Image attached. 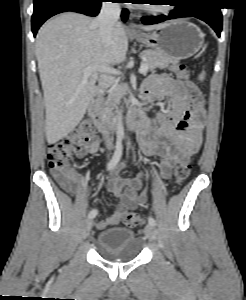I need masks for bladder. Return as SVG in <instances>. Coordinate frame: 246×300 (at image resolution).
Returning a JSON list of instances; mask_svg holds the SVG:
<instances>
[{"label":"bladder","instance_id":"1","mask_svg":"<svg viewBox=\"0 0 246 300\" xmlns=\"http://www.w3.org/2000/svg\"><path fill=\"white\" fill-rule=\"evenodd\" d=\"M96 249L109 258L130 261L140 255L142 243L131 229L118 226L98 233Z\"/></svg>","mask_w":246,"mask_h":300}]
</instances>
